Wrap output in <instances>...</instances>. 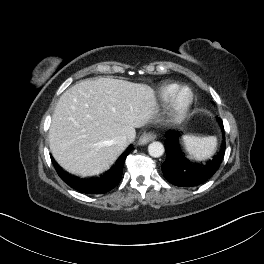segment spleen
I'll return each mask as SVG.
<instances>
[{"label": "spleen", "instance_id": "3e777b00", "mask_svg": "<svg viewBox=\"0 0 264 264\" xmlns=\"http://www.w3.org/2000/svg\"><path fill=\"white\" fill-rule=\"evenodd\" d=\"M182 141L186 150L196 160L210 158L217 147V138L215 136L184 135Z\"/></svg>", "mask_w": 264, "mask_h": 264}]
</instances>
